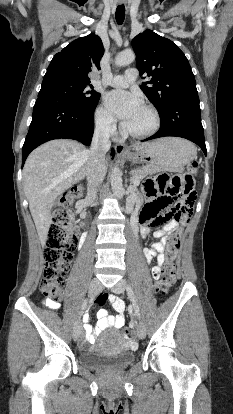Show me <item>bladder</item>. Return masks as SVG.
Returning a JSON list of instances; mask_svg holds the SVG:
<instances>
[{
    "mask_svg": "<svg viewBox=\"0 0 233 414\" xmlns=\"http://www.w3.org/2000/svg\"><path fill=\"white\" fill-rule=\"evenodd\" d=\"M134 358V354L127 351L125 338L118 330L105 332L93 349L79 355L81 364L94 369L127 366Z\"/></svg>",
    "mask_w": 233,
    "mask_h": 414,
    "instance_id": "obj_1",
    "label": "bladder"
}]
</instances>
